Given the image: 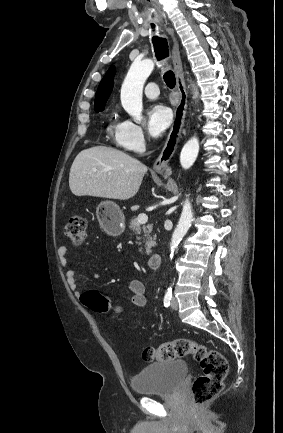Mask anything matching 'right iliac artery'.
Returning a JSON list of instances; mask_svg holds the SVG:
<instances>
[{
  "label": "right iliac artery",
  "instance_id": "1",
  "mask_svg": "<svg viewBox=\"0 0 283 433\" xmlns=\"http://www.w3.org/2000/svg\"><path fill=\"white\" fill-rule=\"evenodd\" d=\"M171 298H172V289L169 288L165 294V297H164V306L165 307H168L170 305Z\"/></svg>",
  "mask_w": 283,
  "mask_h": 433
}]
</instances>
